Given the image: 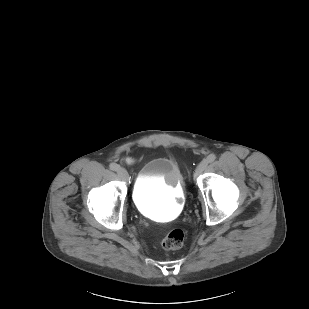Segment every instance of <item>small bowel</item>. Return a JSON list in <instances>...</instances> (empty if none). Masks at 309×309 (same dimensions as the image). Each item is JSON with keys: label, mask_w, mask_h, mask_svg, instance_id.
<instances>
[{"label": "small bowel", "mask_w": 309, "mask_h": 309, "mask_svg": "<svg viewBox=\"0 0 309 309\" xmlns=\"http://www.w3.org/2000/svg\"><path fill=\"white\" fill-rule=\"evenodd\" d=\"M128 162H131V160H130V159H128Z\"/></svg>", "instance_id": "obj_1"}]
</instances>
